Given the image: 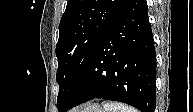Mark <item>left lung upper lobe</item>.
<instances>
[{"label": "left lung upper lobe", "instance_id": "obj_1", "mask_svg": "<svg viewBox=\"0 0 193 112\" xmlns=\"http://www.w3.org/2000/svg\"><path fill=\"white\" fill-rule=\"evenodd\" d=\"M132 0H69L56 45L58 108L75 88L97 44Z\"/></svg>", "mask_w": 193, "mask_h": 112}]
</instances>
